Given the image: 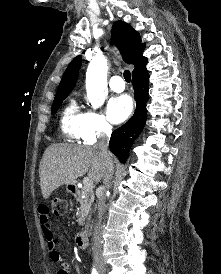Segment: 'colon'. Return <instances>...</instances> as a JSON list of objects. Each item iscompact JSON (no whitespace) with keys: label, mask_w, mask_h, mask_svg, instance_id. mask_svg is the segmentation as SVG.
Segmentation results:
<instances>
[{"label":"colon","mask_w":221,"mask_h":274,"mask_svg":"<svg viewBox=\"0 0 221 274\" xmlns=\"http://www.w3.org/2000/svg\"><path fill=\"white\" fill-rule=\"evenodd\" d=\"M67 208L66 199L63 197H56L52 199L50 203V209L55 215H62L65 213Z\"/></svg>","instance_id":"1"}]
</instances>
